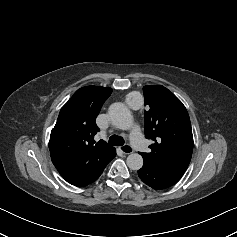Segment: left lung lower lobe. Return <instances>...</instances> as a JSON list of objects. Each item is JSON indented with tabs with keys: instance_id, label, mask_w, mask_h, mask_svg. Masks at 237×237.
Segmentation results:
<instances>
[{
	"instance_id": "0a47b994",
	"label": "left lung lower lobe",
	"mask_w": 237,
	"mask_h": 237,
	"mask_svg": "<svg viewBox=\"0 0 237 237\" xmlns=\"http://www.w3.org/2000/svg\"><path fill=\"white\" fill-rule=\"evenodd\" d=\"M138 176L153 189H165L174 185L181 178L182 174L144 161L143 167L138 171Z\"/></svg>"
}]
</instances>
